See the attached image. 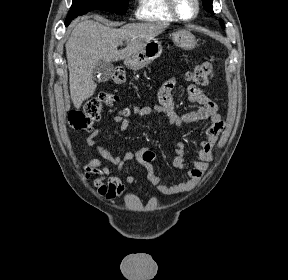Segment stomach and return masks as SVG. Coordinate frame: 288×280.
Instances as JSON below:
<instances>
[{"label":"stomach","instance_id":"1","mask_svg":"<svg viewBox=\"0 0 288 280\" xmlns=\"http://www.w3.org/2000/svg\"><path fill=\"white\" fill-rule=\"evenodd\" d=\"M171 38L174 44L182 49L190 50L196 45L194 35L185 29L173 32ZM162 50L161 42L154 38L147 41L138 52L127 57L124 63L131 69H141L160 57Z\"/></svg>","mask_w":288,"mask_h":280}]
</instances>
